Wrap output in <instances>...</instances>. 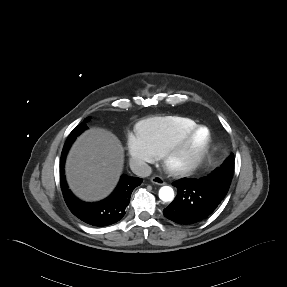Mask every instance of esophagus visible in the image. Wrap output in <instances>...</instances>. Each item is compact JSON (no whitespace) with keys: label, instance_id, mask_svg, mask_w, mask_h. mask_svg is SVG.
Wrapping results in <instances>:
<instances>
[{"label":"esophagus","instance_id":"esophagus-1","mask_svg":"<svg viewBox=\"0 0 287 287\" xmlns=\"http://www.w3.org/2000/svg\"><path fill=\"white\" fill-rule=\"evenodd\" d=\"M150 181L153 183V184H156V185H164L165 184V181L159 177V176H153L151 177Z\"/></svg>","mask_w":287,"mask_h":287}]
</instances>
